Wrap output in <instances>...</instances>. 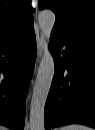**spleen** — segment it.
Returning <instances> with one entry per match:
<instances>
[{
  "label": "spleen",
  "mask_w": 95,
  "mask_h": 130,
  "mask_svg": "<svg viewBox=\"0 0 95 130\" xmlns=\"http://www.w3.org/2000/svg\"><path fill=\"white\" fill-rule=\"evenodd\" d=\"M60 130H91V129L87 126H83L79 124H71V125L62 127Z\"/></svg>",
  "instance_id": "obj_1"
}]
</instances>
